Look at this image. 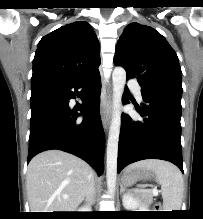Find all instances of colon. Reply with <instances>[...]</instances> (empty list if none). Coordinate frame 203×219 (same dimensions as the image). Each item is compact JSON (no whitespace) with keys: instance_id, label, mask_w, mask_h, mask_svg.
<instances>
[{"instance_id":"1","label":"colon","mask_w":203,"mask_h":219,"mask_svg":"<svg viewBox=\"0 0 203 219\" xmlns=\"http://www.w3.org/2000/svg\"><path fill=\"white\" fill-rule=\"evenodd\" d=\"M160 209H161L160 204H156V205H155V210H156V211H159Z\"/></svg>"}]
</instances>
